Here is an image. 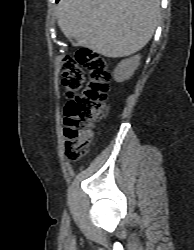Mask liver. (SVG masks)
Returning <instances> with one entry per match:
<instances>
[{
    "instance_id": "6515ba94",
    "label": "liver",
    "mask_w": 194,
    "mask_h": 250,
    "mask_svg": "<svg viewBox=\"0 0 194 250\" xmlns=\"http://www.w3.org/2000/svg\"><path fill=\"white\" fill-rule=\"evenodd\" d=\"M63 34L105 57L129 56L152 38L160 0H60L56 9Z\"/></svg>"
}]
</instances>
